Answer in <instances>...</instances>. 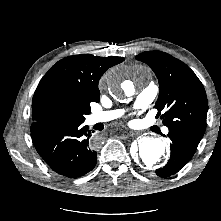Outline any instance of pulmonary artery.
<instances>
[{
  "label": "pulmonary artery",
  "mask_w": 221,
  "mask_h": 221,
  "mask_svg": "<svg viewBox=\"0 0 221 221\" xmlns=\"http://www.w3.org/2000/svg\"><path fill=\"white\" fill-rule=\"evenodd\" d=\"M157 94H158V86L154 83H150L139 93L135 102V107L142 108L148 106L154 101ZM122 113H123L122 110L94 112L90 115V122L91 124L108 122L121 116ZM163 132L167 134L169 132V129L167 127H164Z\"/></svg>",
  "instance_id": "obj_1"
}]
</instances>
